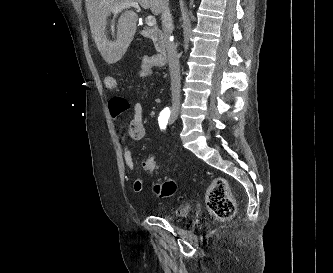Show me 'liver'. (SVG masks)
Masks as SVG:
<instances>
[{
	"label": "liver",
	"instance_id": "obj_1",
	"mask_svg": "<svg viewBox=\"0 0 333 273\" xmlns=\"http://www.w3.org/2000/svg\"><path fill=\"white\" fill-rule=\"evenodd\" d=\"M127 1H136L154 15L161 13V0H85L92 37L108 64L116 63L124 56L136 31L138 16L134 11L127 10L118 20L117 39L111 41L107 38L108 18L115 7Z\"/></svg>",
	"mask_w": 333,
	"mask_h": 273
}]
</instances>
